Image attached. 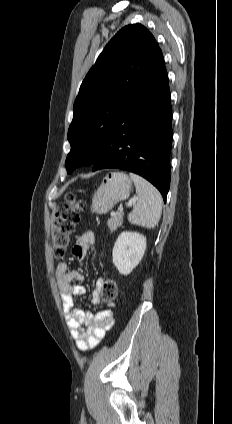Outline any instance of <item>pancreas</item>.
I'll return each instance as SVG.
<instances>
[{"label": "pancreas", "mask_w": 232, "mask_h": 424, "mask_svg": "<svg viewBox=\"0 0 232 424\" xmlns=\"http://www.w3.org/2000/svg\"><path fill=\"white\" fill-rule=\"evenodd\" d=\"M123 223V212H116L108 220L107 225L110 231H115Z\"/></svg>", "instance_id": "cf45deb5"}]
</instances>
